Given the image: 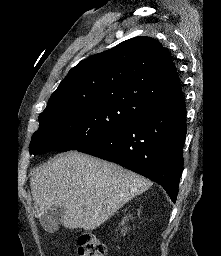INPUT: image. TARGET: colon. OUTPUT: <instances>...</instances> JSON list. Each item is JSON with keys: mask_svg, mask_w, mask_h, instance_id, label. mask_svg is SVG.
Masks as SVG:
<instances>
[{"mask_svg": "<svg viewBox=\"0 0 221 256\" xmlns=\"http://www.w3.org/2000/svg\"><path fill=\"white\" fill-rule=\"evenodd\" d=\"M77 243L79 256H106L104 243L91 232H82Z\"/></svg>", "mask_w": 221, "mask_h": 256, "instance_id": "colon-1", "label": "colon"}]
</instances>
